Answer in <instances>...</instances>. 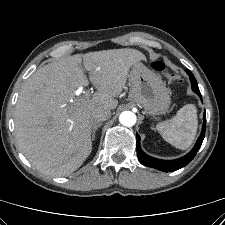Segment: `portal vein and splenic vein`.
<instances>
[{"instance_id": "18ae733b", "label": "portal vein and splenic vein", "mask_w": 225, "mask_h": 225, "mask_svg": "<svg viewBox=\"0 0 225 225\" xmlns=\"http://www.w3.org/2000/svg\"><path fill=\"white\" fill-rule=\"evenodd\" d=\"M82 92V89L79 88L77 91H76V95H79L80 93ZM85 98H89V94L88 93H85Z\"/></svg>"}]
</instances>
